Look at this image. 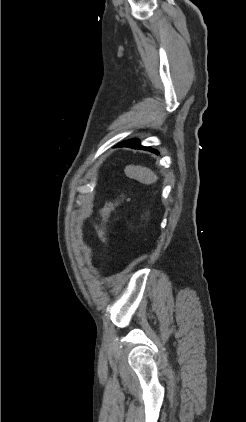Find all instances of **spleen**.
Wrapping results in <instances>:
<instances>
[{"label":"spleen","mask_w":246,"mask_h":422,"mask_svg":"<svg viewBox=\"0 0 246 422\" xmlns=\"http://www.w3.org/2000/svg\"><path fill=\"white\" fill-rule=\"evenodd\" d=\"M127 177L135 179L142 184L150 185L157 181V175L147 167L128 165L124 170Z\"/></svg>","instance_id":"obj_1"}]
</instances>
